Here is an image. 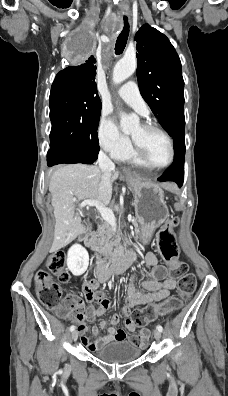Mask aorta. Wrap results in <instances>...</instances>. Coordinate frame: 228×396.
Listing matches in <instances>:
<instances>
[{"label": "aorta", "mask_w": 228, "mask_h": 396, "mask_svg": "<svg viewBox=\"0 0 228 396\" xmlns=\"http://www.w3.org/2000/svg\"><path fill=\"white\" fill-rule=\"evenodd\" d=\"M137 61L135 57H123L113 70V82L118 85L130 77L136 70ZM139 122L137 116L121 114L120 126L123 132H130Z\"/></svg>", "instance_id": "1"}]
</instances>
